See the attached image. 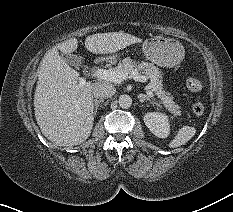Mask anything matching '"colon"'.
<instances>
[{
    "mask_svg": "<svg viewBox=\"0 0 233 212\" xmlns=\"http://www.w3.org/2000/svg\"><path fill=\"white\" fill-rule=\"evenodd\" d=\"M186 86L193 92H199L203 88L202 83L194 77H188L186 79ZM192 110L195 115L200 116L205 111L204 104L201 101H196L192 106Z\"/></svg>",
    "mask_w": 233,
    "mask_h": 212,
    "instance_id": "5ec220e1",
    "label": "colon"
}]
</instances>
